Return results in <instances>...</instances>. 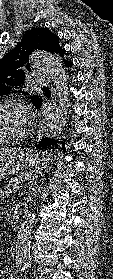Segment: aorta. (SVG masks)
<instances>
[{
    "label": "aorta",
    "instance_id": "762f6f07",
    "mask_svg": "<svg viewBox=\"0 0 113 279\" xmlns=\"http://www.w3.org/2000/svg\"><path fill=\"white\" fill-rule=\"evenodd\" d=\"M32 67L48 74L57 89L58 107L44 121L43 135L49 139L58 138L67 123L69 112V87L65 69L57 58L46 51L37 50L30 55ZM35 218L33 211H28L16 237V267L25 269L30 265V240Z\"/></svg>",
    "mask_w": 113,
    "mask_h": 279
}]
</instances>
